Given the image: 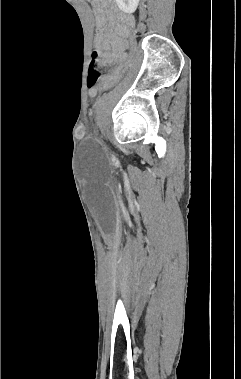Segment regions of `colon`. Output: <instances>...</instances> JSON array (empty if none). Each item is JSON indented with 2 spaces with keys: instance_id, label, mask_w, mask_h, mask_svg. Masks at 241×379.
<instances>
[{
  "instance_id": "5ec220e1",
  "label": "colon",
  "mask_w": 241,
  "mask_h": 379,
  "mask_svg": "<svg viewBox=\"0 0 241 379\" xmlns=\"http://www.w3.org/2000/svg\"><path fill=\"white\" fill-rule=\"evenodd\" d=\"M129 28L126 30V36L128 39V45H129V52L131 56L128 57L127 61H122V64L119 65V70L114 73V76H111L110 79H107L104 85H101L98 88V93L99 97L103 98L105 95V92H109L111 86L113 83H123L124 82V77L126 76V73L124 71L127 70V68H131L132 63L135 62V57L137 52H138V41H137V35L136 32H134V24H129ZM102 63L99 59V52L94 51L93 56L91 59L90 63V68H89V75H88V85L90 87H93L97 84L99 79L102 76Z\"/></svg>"
}]
</instances>
